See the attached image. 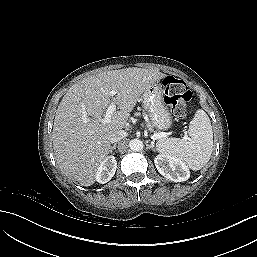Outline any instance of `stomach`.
I'll use <instances>...</instances> for the list:
<instances>
[{"label":"stomach","mask_w":257,"mask_h":257,"mask_svg":"<svg viewBox=\"0 0 257 257\" xmlns=\"http://www.w3.org/2000/svg\"><path fill=\"white\" fill-rule=\"evenodd\" d=\"M141 101L155 129L164 131L171 127L172 116L164 102L163 89L159 83L149 85L141 95Z\"/></svg>","instance_id":"0dacf381"}]
</instances>
